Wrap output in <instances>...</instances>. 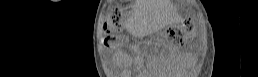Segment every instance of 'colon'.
<instances>
[{"label":"colon","mask_w":258,"mask_h":77,"mask_svg":"<svg viewBox=\"0 0 258 77\" xmlns=\"http://www.w3.org/2000/svg\"><path fill=\"white\" fill-rule=\"evenodd\" d=\"M123 14L119 10H114L106 20L103 31L106 35L118 33L122 29ZM194 34L193 23L184 21L180 26H173L166 31V39L174 44H180L185 39L191 38Z\"/></svg>","instance_id":"1"}]
</instances>
